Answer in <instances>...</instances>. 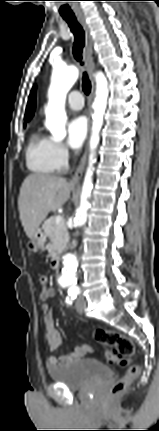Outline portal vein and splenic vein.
<instances>
[{
  "instance_id": "18ae733b",
  "label": "portal vein and splenic vein",
  "mask_w": 159,
  "mask_h": 431,
  "mask_svg": "<svg viewBox=\"0 0 159 431\" xmlns=\"http://www.w3.org/2000/svg\"><path fill=\"white\" fill-rule=\"evenodd\" d=\"M62 221H63L62 216H60V215L56 216V218H55L56 224H60Z\"/></svg>"
}]
</instances>
